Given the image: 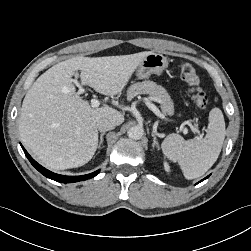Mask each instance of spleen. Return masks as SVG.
<instances>
[{
	"label": "spleen",
	"mask_w": 251,
	"mask_h": 251,
	"mask_svg": "<svg viewBox=\"0 0 251 251\" xmlns=\"http://www.w3.org/2000/svg\"><path fill=\"white\" fill-rule=\"evenodd\" d=\"M208 130L203 139L184 140L179 134L168 135L161 144L163 154L177 162L186 179L204 175L216 162L225 139L222 111L213 108L209 113Z\"/></svg>",
	"instance_id": "3e777b00"
}]
</instances>
